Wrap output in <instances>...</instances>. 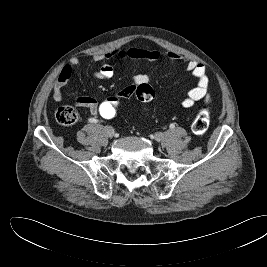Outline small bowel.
Here are the masks:
<instances>
[{
  "mask_svg": "<svg viewBox=\"0 0 267 267\" xmlns=\"http://www.w3.org/2000/svg\"><path fill=\"white\" fill-rule=\"evenodd\" d=\"M160 57H164L168 60H178L182 57L176 53L165 51L160 52L152 49H141L134 47H120L104 55H97L94 57L96 61L103 60H115L122 61L125 59H145L156 60ZM78 64V59H72L70 63H67L60 71L57 80L53 86V99L56 102H60L63 98V88L70 80L74 68ZM186 70L190 72L196 79V85L187 93L186 97L182 100V105L185 108H191L194 104L200 100H204L206 103L211 101V95L208 91L209 79L203 64L193 60H188L186 64ZM114 74V66L109 63H103L98 70L93 73V76L99 80L110 79ZM149 82V76L146 73H138L133 77V85L127 86L117 93L122 99H128L135 93V88L144 83ZM77 107L89 108L92 114H97L99 102L90 96L78 97L75 101Z\"/></svg>",
  "mask_w": 267,
  "mask_h": 267,
  "instance_id": "small-bowel-1",
  "label": "small bowel"
}]
</instances>
